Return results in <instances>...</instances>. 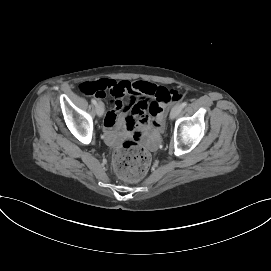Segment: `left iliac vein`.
<instances>
[{"label":"left iliac vein","instance_id":"4c4485c4","mask_svg":"<svg viewBox=\"0 0 271 271\" xmlns=\"http://www.w3.org/2000/svg\"><path fill=\"white\" fill-rule=\"evenodd\" d=\"M182 111V106L181 105H176L172 108L171 112H170V118L174 119L176 118L180 112Z\"/></svg>","mask_w":271,"mask_h":271}]
</instances>
